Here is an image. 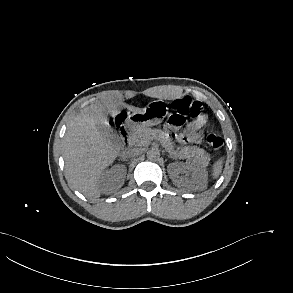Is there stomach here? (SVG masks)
<instances>
[{"mask_svg":"<svg viewBox=\"0 0 293 293\" xmlns=\"http://www.w3.org/2000/svg\"><path fill=\"white\" fill-rule=\"evenodd\" d=\"M167 114V103L163 100H155L148 103L143 110L133 112L129 115L127 125L133 129L158 125L164 120Z\"/></svg>","mask_w":293,"mask_h":293,"instance_id":"stomach-1","label":"stomach"}]
</instances>
